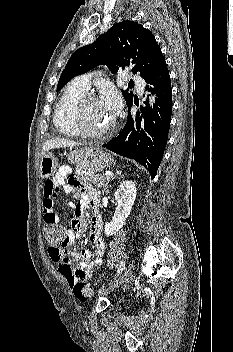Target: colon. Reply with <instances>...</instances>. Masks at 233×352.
Returning <instances> with one entry per match:
<instances>
[{
  "label": "colon",
  "mask_w": 233,
  "mask_h": 352,
  "mask_svg": "<svg viewBox=\"0 0 233 352\" xmlns=\"http://www.w3.org/2000/svg\"><path fill=\"white\" fill-rule=\"evenodd\" d=\"M42 233L46 241L50 245L63 246L65 245V236L63 229L59 226L44 223ZM74 296L80 301H86L92 294V287L84 281L77 282L72 287Z\"/></svg>",
  "instance_id": "obj_1"
}]
</instances>
